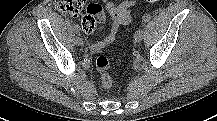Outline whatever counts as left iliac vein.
Listing matches in <instances>:
<instances>
[{"instance_id": "obj_1", "label": "left iliac vein", "mask_w": 217, "mask_h": 121, "mask_svg": "<svg viewBox=\"0 0 217 121\" xmlns=\"http://www.w3.org/2000/svg\"><path fill=\"white\" fill-rule=\"evenodd\" d=\"M143 36H144V32L142 29H138L135 34H134V40L135 42H140L142 41L143 39Z\"/></svg>"}]
</instances>
